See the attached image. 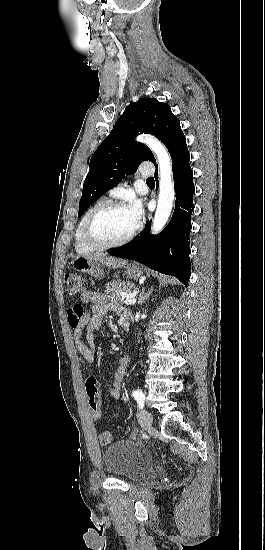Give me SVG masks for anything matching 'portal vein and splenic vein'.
Segmentation results:
<instances>
[{
	"instance_id": "obj_1",
	"label": "portal vein and splenic vein",
	"mask_w": 265,
	"mask_h": 550,
	"mask_svg": "<svg viewBox=\"0 0 265 550\" xmlns=\"http://www.w3.org/2000/svg\"><path fill=\"white\" fill-rule=\"evenodd\" d=\"M123 297L125 298L124 303L126 305H134L136 303V298L131 295H125L123 294Z\"/></svg>"
}]
</instances>
